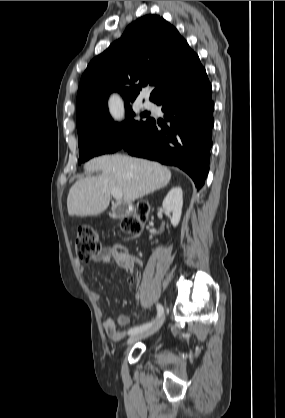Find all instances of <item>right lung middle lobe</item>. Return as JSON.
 I'll use <instances>...</instances> for the list:
<instances>
[{"mask_svg":"<svg viewBox=\"0 0 285 418\" xmlns=\"http://www.w3.org/2000/svg\"><path fill=\"white\" fill-rule=\"evenodd\" d=\"M125 110L128 119L122 123L114 122L109 112L105 111L77 125L80 152L79 164L94 156L112 153L121 148L152 119L146 112L141 114V117H147L146 121L133 119L135 114L132 112L129 104L125 105Z\"/></svg>","mask_w":285,"mask_h":418,"instance_id":"right-lung-middle-lobe-1","label":"right lung middle lobe"}]
</instances>
